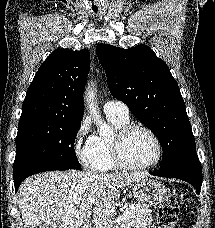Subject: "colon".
Wrapping results in <instances>:
<instances>
[{
  "label": "colon",
  "instance_id": "obj_1",
  "mask_svg": "<svg viewBox=\"0 0 215 228\" xmlns=\"http://www.w3.org/2000/svg\"><path fill=\"white\" fill-rule=\"evenodd\" d=\"M179 216L177 203L168 199L158 212V228H175Z\"/></svg>",
  "mask_w": 215,
  "mask_h": 228
}]
</instances>
